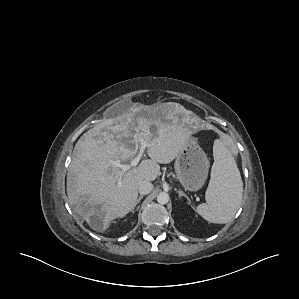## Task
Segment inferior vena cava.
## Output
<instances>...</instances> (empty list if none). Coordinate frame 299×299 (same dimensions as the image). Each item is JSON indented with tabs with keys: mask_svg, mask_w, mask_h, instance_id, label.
<instances>
[{
	"mask_svg": "<svg viewBox=\"0 0 299 299\" xmlns=\"http://www.w3.org/2000/svg\"><path fill=\"white\" fill-rule=\"evenodd\" d=\"M153 190V184L149 181L142 180L138 183V191L141 195H147Z\"/></svg>",
	"mask_w": 299,
	"mask_h": 299,
	"instance_id": "inferior-vena-cava-1",
	"label": "inferior vena cava"
}]
</instances>
